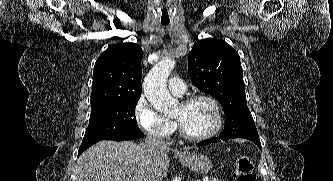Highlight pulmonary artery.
I'll return each instance as SVG.
<instances>
[{"instance_id": "pulmonary-artery-1", "label": "pulmonary artery", "mask_w": 333, "mask_h": 181, "mask_svg": "<svg viewBox=\"0 0 333 181\" xmlns=\"http://www.w3.org/2000/svg\"><path fill=\"white\" fill-rule=\"evenodd\" d=\"M169 89L175 96H182L185 92V84L181 78L174 77L169 81Z\"/></svg>"}]
</instances>
